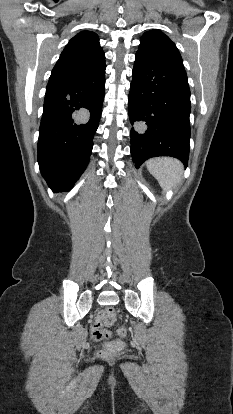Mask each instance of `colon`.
Returning <instances> with one entry per match:
<instances>
[{
    "instance_id": "obj_1",
    "label": "colon",
    "mask_w": 233,
    "mask_h": 414,
    "mask_svg": "<svg viewBox=\"0 0 233 414\" xmlns=\"http://www.w3.org/2000/svg\"><path fill=\"white\" fill-rule=\"evenodd\" d=\"M114 320H115V310L113 308H107V309L101 310L97 314L94 322L91 325V337L95 341L109 339L112 335L111 332L103 329L102 326L103 325L111 326L114 323ZM126 333H127V330L124 326H119L115 330V335L120 338L125 337ZM100 355L102 357H109L110 353L106 351H100Z\"/></svg>"
}]
</instances>
